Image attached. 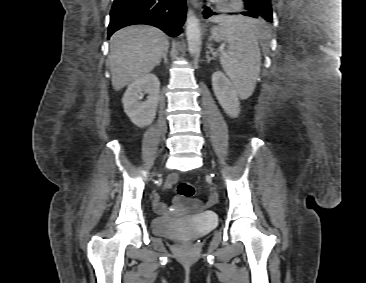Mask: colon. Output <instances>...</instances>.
<instances>
[{
  "label": "colon",
  "instance_id": "5ec220e1",
  "mask_svg": "<svg viewBox=\"0 0 366 283\" xmlns=\"http://www.w3.org/2000/svg\"><path fill=\"white\" fill-rule=\"evenodd\" d=\"M177 193L182 198L190 199L195 194V186L188 181H181L177 186ZM200 207V203L196 200H192L191 208L197 210Z\"/></svg>",
  "mask_w": 366,
  "mask_h": 283
}]
</instances>
